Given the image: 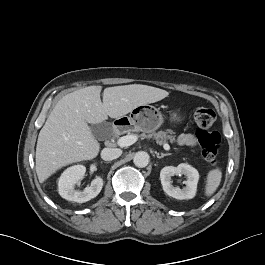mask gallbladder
I'll use <instances>...</instances> for the list:
<instances>
[{
  "label": "gallbladder",
  "instance_id": "1",
  "mask_svg": "<svg viewBox=\"0 0 265 265\" xmlns=\"http://www.w3.org/2000/svg\"><path fill=\"white\" fill-rule=\"evenodd\" d=\"M91 130L93 135L97 139H104L111 133L112 125L108 122H102L99 124L91 125Z\"/></svg>",
  "mask_w": 265,
  "mask_h": 265
}]
</instances>
